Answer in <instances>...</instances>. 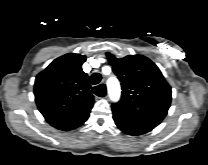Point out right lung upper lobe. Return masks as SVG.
Masks as SVG:
<instances>
[{"label": "right lung upper lobe", "instance_id": "cb5924a9", "mask_svg": "<svg viewBox=\"0 0 208 165\" xmlns=\"http://www.w3.org/2000/svg\"><path fill=\"white\" fill-rule=\"evenodd\" d=\"M85 60L80 54L63 55L36 77L34 94L38 109L58 130L75 129L90 115L94 96L88 76L82 70Z\"/></svg>", "mask_w": 208, "mask_h": 165}]
</instances>
